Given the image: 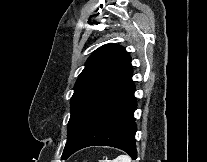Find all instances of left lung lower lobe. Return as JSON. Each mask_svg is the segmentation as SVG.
<instances>
[{
	"mask_svg": "<svg viewBox=\"0 0 207 162\" xmlns=\"http://www.w3.org/2000/svg\"><path fill=\"white\" fill-rule=\"evenodd\" d=\"M134 92L135 86L130 78L97 108L77 139L62 155V159H67L82 148L104 145L119 148L135 160L137 158L135 144L137 128L134 119L136 109Z\"/></svg>",
	"mask_w": 207,
	"mask_h": 162,
	"instance_id": "obj_1",
	"label": "left lung lower lobe"
}]
</instances>
